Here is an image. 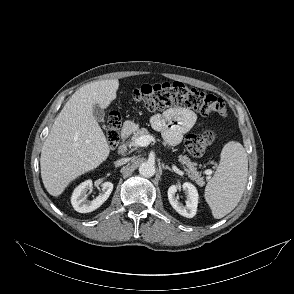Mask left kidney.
<instances>
[{"instance_id":"5707ae66","label":"left kidney","mask_w":294,"mask_h":294,"mask_svg":"<svg viewBox=\"0 0 294 294\" xmlns=\"http://www.w3.org/2000/svg\"><path fill=\"white\" fill-rule=\"evenodd\" d=\"M186 194V205H183L178 201L175 194L177 192V185H172L168 189V200L171 206L182 216L187 218H193L197 212L198 206V191L196 187L186 182L182 185Z\"/></svg>"}]
</instances>
